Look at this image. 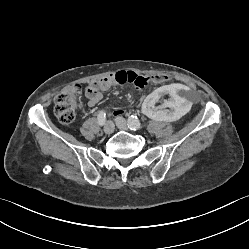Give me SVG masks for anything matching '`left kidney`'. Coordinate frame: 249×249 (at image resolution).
Instances as JSON below:
<instances>
[{
  "label": "left kidney",
  "mask_w": 249,
  "mask_h": 249,
  "mask_svg": "<svg viewBox=\"0 0 249 249\" xmlns=\"http://www.w3.org/2000/svg\"><path fill=\"white\" fill-rule=\"evenodd\" d=\"M185 90L186 87L179 83L160 86L142 102L143 113L156 121L176 122L183 119L191 109L190 101L182 96Z\"/></svg>",
  "instance_id": "1"
}]
</instances>
